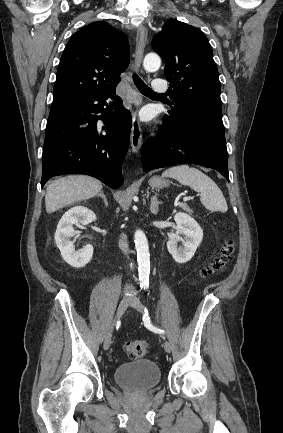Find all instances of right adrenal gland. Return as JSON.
I'll list each match as a JSON object with an SVG mask.
<instances>
[{"label": "right adrenal gland", "mask_w": 283, "mask_h": 433, "mask_svg": "<svg viewBox=\"0 0 283 433\" xmlns=\"http://www.w3.org/2000/svg\"><path fill=\"white\" fill-rule=\"evenodd\" d=\"M96 196H101V198H103V200L105 202V206H108V200H107L103 190H100V192H98V194H96Z\"/></svg>", "instance_id": "right-adrenal-gland-1"}]
</instances>
